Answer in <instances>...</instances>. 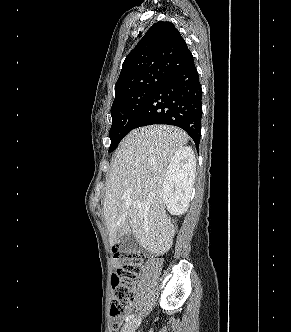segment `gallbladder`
Returning a JSON list of instances; mask_svg holds the SVG:
<instances>
[{
  "label": "gallbladder",
  "instance_id": "obj_1",
  "mask_svg": "<svg viewBox=\"0 0 291 332\" xmlns=\"http://www.w3.org/2000/svg\"><path fill=\"white\" fill-rule=\"evenodd\" d=\"M123 236V233H121V232H117V238L119 239V238H121Z\"/></svg>",
  "mask_w": 291,
  "mask_h": 332
}]
</instances>
